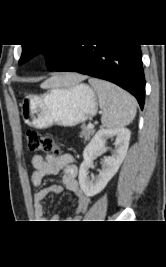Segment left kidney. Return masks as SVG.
Listing matches in <instances>:
<instances>
[{"mask_svg":"<svg viewBox=\"0 0 166 267\" xmlns=\"http://www.w3.org/2000/svg\"><path fill=\"white\" fill-rule=\"evenodd\" d=\"M131 132L127 128L100 129L86 146L83 152V162L79 169V184L86 196L92 197L101 192L117 173L129 146ZM115 137V149L111 156L101 161L102 170L95 179H90L88 170L95 155L106 149V141Z\"/></svg>","mask_w":166,"mask_h":267,"instance_id":"left-kidney-1","label":"left kidney"}]
</instances>
